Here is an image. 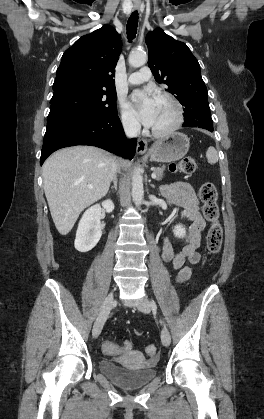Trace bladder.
<instances>
[{"mask_svg": "<svg viewBox=\"0 0 264 419\" xmlns=\"http://www.w3.org/2000/svg\"><path fill=\"white\" fill-rule=\"evenodd\" d=\"M98 368L102 374L124 389L143 387L156 376V369L152 365L128 368L104 359L98 362Z\"/></svg>", "mask_w": 264, "mask_h": 419, "instance_id": "bladder-1", "label": "bladder"}]
</instances>
